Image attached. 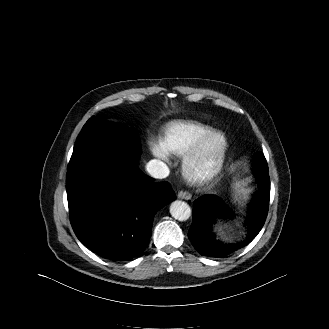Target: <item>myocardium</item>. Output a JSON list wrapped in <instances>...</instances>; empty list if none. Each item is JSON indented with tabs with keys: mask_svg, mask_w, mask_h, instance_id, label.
Listing matches in <instances>:
<instances>
[{
	"mask_svg": "<svg viewBox=\"0 0 329 329\" xmlns=\"http://www.w3.org/2000/svg\"><path fill=\"white\" fill-rule=\"evenodd\" d=\"M214 138L220 139L218 156L215 164L208 170L199 172L195 169V163L204 151L206 145ZM229 143L226 135L219 130H212L201 137L184 155L182 158V173L184 177L192 184L204 185L215 179L223 170Z\"/></svg>",
	"mask_w": 329,
	"mask_h": 329,
	"instance_id": "myocardium-1",
	"label": "myocardium"
}]
</instances>
